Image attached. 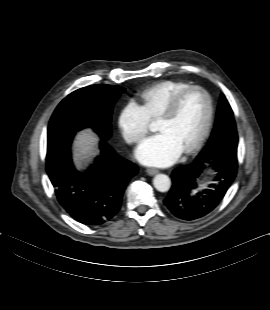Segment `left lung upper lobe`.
Segmentation results:
<instances>
[{
    "instance_id": "left-lung-upper-lobe-1",
    "label": "left lung upper lobe",
    "mask_w": 270,
    "mask_h": 310,
    "mask_svg": "<svg viewBox=\"0 0 270 310\" xmlns=\"http://www.w3.org/2000/svg\"><path fill=\"white\" fill-rule=\"evenodd\" d=\"M238 136L233 111L222 94L215 128L210 144L200 153L197 160L237 161Z\"/></svg>"
}]
</instances>
